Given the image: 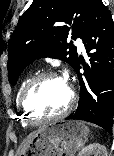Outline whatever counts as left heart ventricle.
<instances>
[{
	"label": "left heart ventricle",
	"mask_w": 114,
	"mask_h": 156,
	"mask_svg": "<svg viewBox=\"0 0 114 156\" xmlns=\"http://www.w3.org/2000/svg\"><path fill=\"white\" fill-rule=\"evenodd\" d=\"M69 100V89L61 78H47L27 94L25 106L34 117H48L61 112Z\"/></svg>",
	"instance_id": "1"
}]
</instances>
